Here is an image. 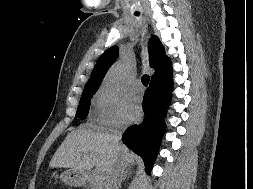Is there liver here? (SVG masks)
Segmentation results:
<instances>
[{"label":"liver","mask_w":253,"mask_h":189,"mask_svg":"<svg viewBox=\"0 0 253 189\" xmlns=\"http://www.w3.org/2000/svg\"><path fill=\"white\" fill-rule=\"evenodd\" d=\"M137 156L121 143L114 144L111 134L80 128L69 133L52 157L51 168L88 171L96 167L103 180L119 160L127 165Z\"/></svg>","instance_id":"obj_1"}]
</instances>
